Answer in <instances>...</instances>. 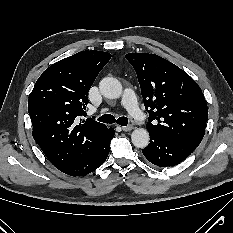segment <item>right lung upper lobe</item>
Instances as JSON below:
<instances>
[{"mask_svg": "<svg viewBox=\"0 0 233 233\" xmlns=\"http://www.w3.org/2000/svg\"><path fill=\"white\" fill-rule=\"evenodd\" d=\"M111 54L81 51L48 67L28 99L33 138L59 170L94 152L112 128L86 116L88 92Z\"/></svg>", "mask_w": 233, "mask_h": 233, "instance_id": "cb5924a9", "label": "right lung upper lobe"}]
</instances>
